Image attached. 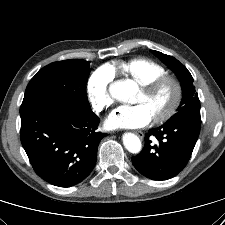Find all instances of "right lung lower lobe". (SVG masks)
Instances as JSON below:
<instances>
[{"label": "right lung lower lobe", "instance_id": "right-lung-lower-lobe-1", "mask_svg": "<svg viewBox=\"0 0 225 225\" xmlns=\"http://www.w3.org/2000/svg\"><path fill=\"white\" fill-rule=\"evenodd\" d=\"M20 138L38 176L59 187L74 186L93 170L99 118L68 103L31 100L20 107Z\"/></svg>", "mask_w": 225, "mask_h": 225}]
</instances>
